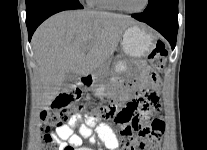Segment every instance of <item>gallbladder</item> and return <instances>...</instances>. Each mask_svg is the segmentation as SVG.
Returning <instances> with one entry per match:
<instances>
[{
	"mask_svg": "<svg viewBox=\"0 0 207 150\" xmlns=\"http://www.w3.org/2000/svg\"><path fill=\"white\" fill-rule=\"evenodd\" d=\"M76 80H77V76L74 73L72 72L67 73L64 82L62 84V89L69 88Z\"/></svg>",
	"mask_w": 207,
	"mask_h": 150,
	"instance_id": "gallbladder-1",
	"label": "gallbladder"
}]
</instances>
